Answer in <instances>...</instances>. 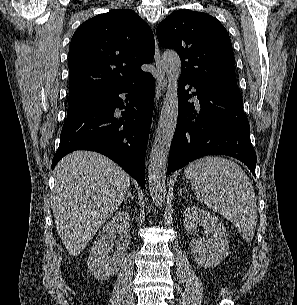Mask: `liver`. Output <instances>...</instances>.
I'll return each mask as SVG.
<instances>
[{
	"mask_svg": "<svg viewBox=\"0 0 297 305\" xmlns=\"http://www.w3.org/2000/svg\"><path fill=\"white\" fill-rule=\"evenodd\" d=\"M129 188V175L101 154L75 151L58 162L52 211L58 235L70 255L77 256L86 248Z\"/></svg>",
	"mask_w": 297,
	"mask_h": 305,
	"instance_id": "1",
	"label": "liver"
}]
</instances>
